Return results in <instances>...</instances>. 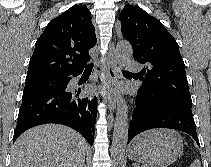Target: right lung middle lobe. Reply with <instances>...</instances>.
<instances>
[{
  "label": "right lung middle lobe",
  "mask_w": 211,
  "mask_h": 167,
  "mask_svg": "<svg viewBox=\"0 0 211 167\" xmlns=\"http://www.w3.org/2000/svg\"><path fill=\"white\" fill-rule=\"evenodd\" d=\"M64 86V81L57 76L43 77L26 81L23 93L40 90L57 89Z\"/></svg>",
  "instance_id": "right-lung-middle-lobe-1"
}]
</instances>
